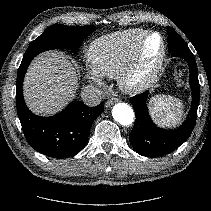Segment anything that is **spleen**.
Wrapping results in <instances>:
<instances>
[{"mask_svg": "<svg viewBox=\"0 0 211 211\" xmlns=\"http://www.w3.org/2000/svg\"><path fill=\"white\" fill-rule=\"evenodd\" d=\"M183 103L178 98L156 95L149 101V111L154 121L162 127L176 126L183 116Z\"/></svg>", "mask_w": 211, "mask_h": 211, "instance_id": "1", "label": "spleen"}]
</instances>
